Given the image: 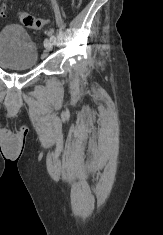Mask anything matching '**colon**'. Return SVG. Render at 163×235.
I'll return each mask as SVG.
<instances>
[{"instance_id": "5ec220e1", "label": "colon", "mask_w": 163, "mask_h": 235, "mask_svg": "<svg viewBox=\"0 0 163 235\" xmlns=\"http://www.w3.org/2000/svg\"><path fill=\"white\" fill-rule=\"evenodd\" d=\"M82 4V0H71V5L73 9H78ZM6 15V8L0 7V17H5ZM20 22L28 28L33 29H41L45 27L47 24V21L44 19L37 18L29 13L26 12H20L18 14Z\"/></svg>"}]
</instances>
